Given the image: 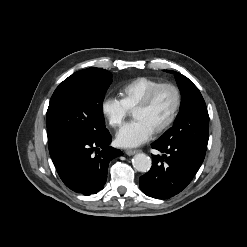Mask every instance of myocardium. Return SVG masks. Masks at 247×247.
Segmentation results:
<instances>
[{"instance_id":"1","label":"myocardium","mask_w":247,"mask_h":247,"mask_svg":"<svg viewBox=\"0 0 247 247\" xmlns=\"http://www.w3.org/2000/svg\"><path fill=\"white\" fill-rule=\"evenodd\" d=\"M164 88H169L174 92L175 104L169 118L162 125L154 130L156 134L166 131L175 122L182 105V93L180 88L176 84L171 82L160 83L152 88L142 99V101L134 108V111L147 109L154 101L156 95Z\"/></svg>"}]
</instances>
